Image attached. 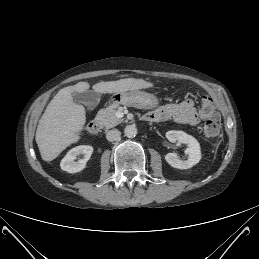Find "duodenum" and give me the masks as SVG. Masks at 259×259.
<instances>
[{
	"instance_id": "duodenum-1",
	"label": "duodenum",
	"mask_w": 259,
	"mask_h": 259,
	"mask_svg": "<svg viewBox=\"0 0 259 259\" xmlns=\"http://www.w3.org/2000/svg\"><path fill=\"white\" fill-rule=\"evenodd\" d=\"M143 119H147L146 117L143 116ZM146 121V120H145ZM88 132L92 135H96L99 133L100 129H101V125L100 122L96 119L92 120L89 122L88 126H87Z\"/></svg>"
}]
</instances>
